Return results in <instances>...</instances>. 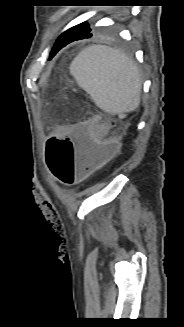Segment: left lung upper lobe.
I'll list each match as a JSON object with an SVG mask.
<instances>
[{"label": "left lung upper lobe", "mask_w": 184, "mask_h": 327, "mask_svg": "<svg viewBox=\"0 0 184 327\" xmlns=\"http://www.w3.org/2000/svg\"><path fill=\"white\" fill-rule=\"evenodd\" d=\"M73 28L78 32L79 35L86 36L87 34H90L92 32V28L87 22H83L79 25H76Z\"/></svg>", "instance_id": "1"}]
</instances>
